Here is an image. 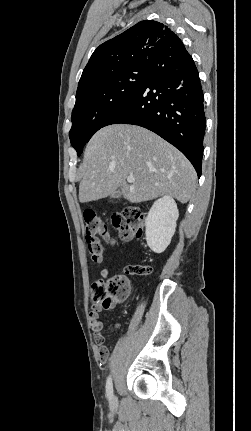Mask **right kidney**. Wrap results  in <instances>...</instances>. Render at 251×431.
<instances>
[{"instance_id": "ca27d5eb", "label": "right kidney", "mask_w": 251, "mask_h": 431, "mask_svg": "<svg viewBox=\"0 0 251 431\" xmlns=\"http://www.w3.org/2000/svg\"><path fill=\"white\" fill-rule=\"evenodd\" d=\"M178 216L177 204L171 196L154 202L145 219L146 241L153 252L162 253L170 244Z\"/></svg>"}]
</instances>
